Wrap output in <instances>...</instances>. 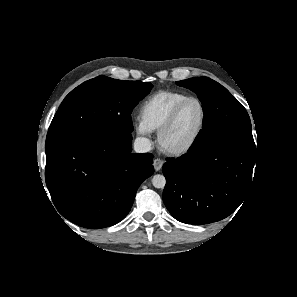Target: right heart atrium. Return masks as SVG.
I'll use <instances>...</instances> for the list:
<instances>
[{
    "label": "right heart atrium",
    "instance_id": "1",
    "mask_svg": "<svg viewBox=\"0 0 297 297\" xmlns=\"http://www.w3.org/2000/svg\"><path fill=\"white\" fill-rule=\"evenodd\" d=\"M136 130L141 135H147L149 133V130L145 127V125L141 122V120H138L135 124Z\"/></svg>",
    "mask_w": 297,
    "mask_h": 297
}]
</instances>
